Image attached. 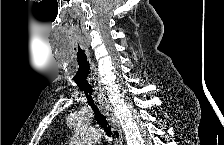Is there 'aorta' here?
Instances as JSON below:
<instances>
[{"instance_id":"aorta-1","label":"aorta","mask_w":224,"mask_h":145,"mask_svg":"<svg viewBox=\"0 0 224 145\" xmlns=\"http://www.w3.org/2000/svg\"><path fill=\"white\" fill-rule=\"evenodd\" d=\"M101 139L100 130L93 127L79 126L72 138L73 145H93Z\"/></svg>"}]
</instances>
